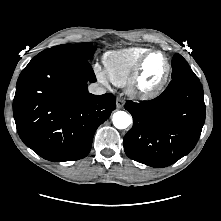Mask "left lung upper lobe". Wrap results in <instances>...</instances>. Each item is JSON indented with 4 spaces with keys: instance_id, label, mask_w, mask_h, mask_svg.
I'll return each instance as SVG.
<instances>
[{
    "instance_id": "5c2ea615",
    "label": "left lung upper lobe",
    "mask_w": 221,
    "mask_h": 221,
    "mask_svg": "<svg viewBox=\"0 0 221 221\" xmlns=\"http://www.w3.org/2000/svg\"><path fill=\"white\" fill-rule=\"evenodd\" d=\"M188 71L192 70L187 61L180 54H175L172 59V78Z\"/></svg>"
}]
</instances>
